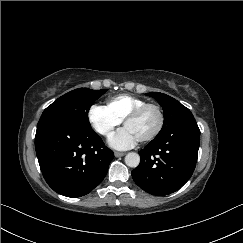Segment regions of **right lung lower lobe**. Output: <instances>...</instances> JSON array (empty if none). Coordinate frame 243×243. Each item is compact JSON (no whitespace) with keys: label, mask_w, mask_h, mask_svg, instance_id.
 I'll return each mask as SVG.
<instances>
[{"label":"right lung lower lobe","mask_w":243,"mask_h":243,"mask_svg":"<svg viewBox=\"0 0 243 243\" xmlns=\"http://www.w3.org/2000/svg\"><path fill=\"white\" fill-rule=\"evenodd\" d=\"M35 149L48 185L67 197L88 194L102 182L113 151L92 129L48 124L38 128Z\"/></svg>","instance_id":"right-lung-lower-lobe-1"}]
</instances>
